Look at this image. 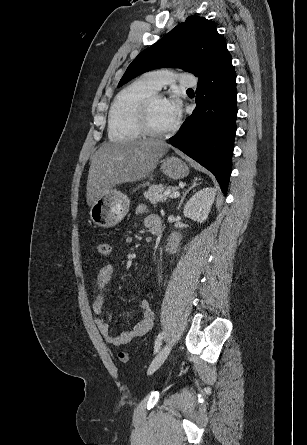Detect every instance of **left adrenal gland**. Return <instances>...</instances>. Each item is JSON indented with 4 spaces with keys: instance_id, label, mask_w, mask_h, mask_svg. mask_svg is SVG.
<instances>
[{
    "instance_id": "left-adrenal-gland-1",
    "label": "left adrenal gland",
    "mask_w": 307,
    "mask_h": 445,
    "mask_svg": "<svg viewBox=\"0 0 307 445\" xmlns=\"http://www.w3.org/2000/svg\"><path fill=\"white\" fill-rule=\"evenodd\" d=\"M197 180H200V178H195V180H193V182H191V186H189L188 190H185V192H183L182 196H181V200L177 206V208H180L186 194H188L189 190H191V188H194V186H196V184H198Z\"/></svg>"
}]
</instances>
